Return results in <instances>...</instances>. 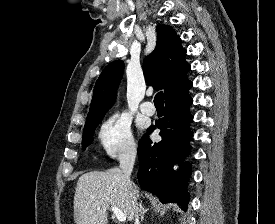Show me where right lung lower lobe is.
I'll list each match as a JSON object with an SVG mask.
<instances>
[{
    "label": "right lung lower lobe",
    "mask_w": 275,
    "mask_h": 224,
    "mask_svg": "<svg viewBox=\"0 0 275 224\" xmlns=\"http://www.w3.org/2000/svg\"><path fill=\"white\" fill-rule=\"evenodd\" d=\"M193 83L187 80L181 86L165 95V115L150 126L148 132L161 129L162 140L153 143L146 134L138 143L140 168L138 180L142 189L158 196L162 202L177 203L182 210L187 209L189 200L186 191L187 179L191 175V165H182L177 173L172 165L191 152L189 140L192 133L189 123L193 116L189 107L193 99L189 89Z\"/></svg>",
    "instance_id": "98d812e1"
}]
</instances>
